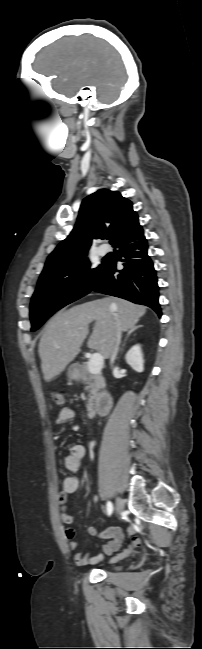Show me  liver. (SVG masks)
I'll use <instances>...</instances> for the list:
<instances>
[{
	"label": "liver",
	"mask_w": 202,
	"mask_h": 649,
	"mask_svg": "<svg viewBox=\"0 0 202 649\" xmlns=\"http://www.w3.org/2000/svg\"><path fill=\"white\" fill-rule=\"evenodd\" d=\"M146 312V307L124 299L105 297L75 305L55 314L39 342V356L44 380L49 382L59 375L79 354L88 335L89 324L95 326L88 347L108 359L115 346L117 327L127 331L134 327Z\"/></svg>",
	"instance_id": "liver-1"
}]
</instances>
